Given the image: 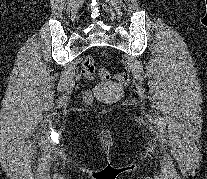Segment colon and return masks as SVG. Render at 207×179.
Here are the masks:
<instances>
[{"label":"colon","instance_id":"5ec220e1","mask_svg":"<svg viewBox=\"0 0 207 179\" xmlns=\"http://www.w3.org/2000/svg\"><path fill=\"white\" fill-rule=\"evenodd\" d=\"M94 58L91 56H88L85 58L83 63V73L87 77H91L94 73ZM99 76L104 79L108 80L110 78V74L106 69H100ZM116 80L120 84H126L129 81V75L126 72H120L116 75ZM94 99V93L92 90L88 89L83 93V100L86 103L92 102Z\"/></svg>","mask_w":207,"mask_h":179}]
</instances>
